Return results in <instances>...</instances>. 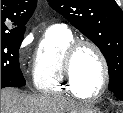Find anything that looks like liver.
<instances>
[{"label": "liver", "instance_id": "obj_1", "mask_svg": "<svg viewBox=\"0 0 123 113\" xmlns=\"http://www.w3.org/2000/svg\"><path fill=\"white\" fill-rule=\"evenodd\" d=\"M81 103L61 95H31L13 88L1 89V113H74Z\"/></svg>", "mask_w": 123, "mask_h": 113}]
</instances>
